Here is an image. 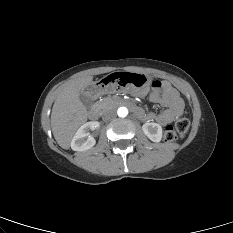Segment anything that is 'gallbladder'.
Instances as JSON below:
<instances>
[{
	"mask_svg": "<svg viewBox=\"0 0 233 233\" xmlns=\"http://www.w3.org/2000/svg\"><path fill=\"white\" fill-rule=\"evenodd\" d=\"M79 97H80V101L83 103L85 107L90 108L92 106L93 101L86 94L80 93Z\"/></svg>",
	"mask_w": 233,
	"mask_h": 233,
	"instance_id": "bac80fb5",
	"label": "gallbladder"
}]
</instances>
